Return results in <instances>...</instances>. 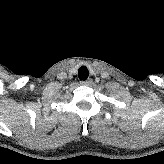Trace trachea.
Instances as JSON below:
<instances>
[{
	"label": "trachea",
	"mask_w": 164,
	"mask_h": 164,
	"mask_svg": "<svg viewBox=\"0 0 164 164\" xmlns=\"http://www.w3.org/2000/svg\"><path fill=\"white\" fill-rule=\"evenodd\" d=\"M88 76H89V71L87 67L85 66L80 67L78 70L79 79L85 81L88 78Z\"/></svg>",
	"instance_id": "3493384b"
}]
</instances>
